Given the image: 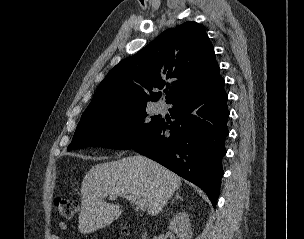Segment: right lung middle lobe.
I'll return each mask as SVG.
<instances>
[{
    "mask_svg": "<svg viewBox=\"0 0 304 239\" xmlns=\"http://www.w3.org/2000/svg\"><path fill=\"white\" fill-rule=\"evenodd\" d=\"M161 119L148 120L146 105H123L81 118L67 150L97 146L129 150L150 136Z\"/></svg>",
    "mask_w": 304,
    "mask_h": 239,
    "instance_id": "obj_1",
    "label": "right lung middle lobe"
}]
</instances>
